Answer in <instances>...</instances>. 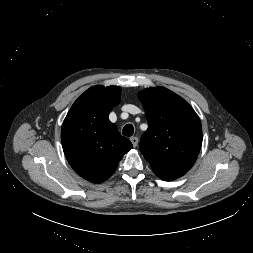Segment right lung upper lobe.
<instances>
[{"label":"right lung upper lobe","instance_id":"obj_1","mask_svg":"<svg viewBox=\"0 0 253 253\" xmlns=\"http://www.w3.org/2000/svg\"><path fill=\"white\" fill-rule=\"evenodd\" d=\"M120 100L121 89L117 86L91 87L74 102L64 119L61 140L65 157L90 182L107 180L133 147L109 120V113Z\"/></svg>","mask_w":253,"mask_h":253}]
</instances>
